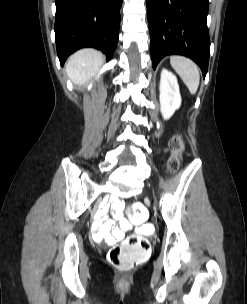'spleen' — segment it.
I'll return each instance as SVG.
<instances>
[{"label":"spleen","mask_w":247,"mask_h":304,"mask_svg":"<svg viewBox=\"0 0 247 304\" xmlns=\"http://www.w3.org/2000/svg\"><path fill=\"white\" fill-rule=\"evenodd\" d=\"M173 69L181 77L191 94H195L199 87L200 75L197 65L189 58L173 55L170 57Z\"/></svg>","instance_id":"spleen-1"}]
</instances>
